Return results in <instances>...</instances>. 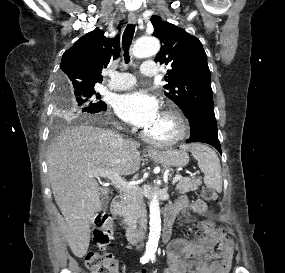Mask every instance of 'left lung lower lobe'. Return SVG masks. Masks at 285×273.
<instances>
[{
  "label": "left lung lower lobe",
  "instance_id": "0a47b994",
  "mask_svg": "<svg viewBox=\"0 0 285 273\" xmlns=\"http://www.w3.org/2000/svg\"><path fill=\"white\" fill-rule=\"evenodd\" d=\"M184 113L191 126V135L187 142L208 143L221 153L214 107L199 106L191 108Z\"/></svg>",
  "mask_w": 285,
  "mask_h": 273
}]
</instances>
